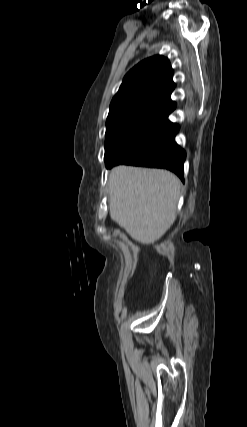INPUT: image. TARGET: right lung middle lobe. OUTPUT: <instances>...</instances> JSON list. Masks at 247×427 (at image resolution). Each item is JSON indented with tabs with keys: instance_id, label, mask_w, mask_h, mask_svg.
I'll return each mask as SVG.
<instances>
[{
	"instance_id": "dd1d6c3e",
	"label": "right lung middle lobe",
	"mask_w": 247,
	"mask_h": 427,
	"mask_svg": "<svg viewBox=\"0 0 247 427\" xmlns=\"http://www.w3.org/2000/svg\"><path fill=\"white\" fill-rule=\"evenodd\" d=\"M150 113L140 110L116 112L106 121L105 162L111 160L116 150L129 133Z\"/></svg>"
}]
</instances>
